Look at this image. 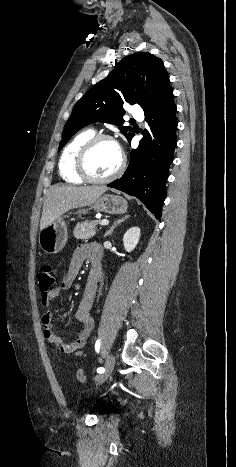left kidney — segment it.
<instances>
[{"instance_id": "obj_1", "label": "left kidney", "mask_w": 236, "mask_h": 467, "mask_svg": "<svg viewBox=\"0 0 236 467\" xmlns=\"http://www.w3.org/2000/svg\"><path fill=\"white\" fill-rule=\"evenodd\" d=\"M140 229L138 227L130 228L123 237L124 248L127 252L135 249L139 242Z\"/></svg>"}]
</instances>
